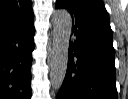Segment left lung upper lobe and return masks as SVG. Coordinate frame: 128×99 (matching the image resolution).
<instances>
[{
    "mask_svg": "<svg viewBox=\"0 0 128 99\" xmlns=\"http://www.w3.org/2000/svg\"><path fill=\"white\" fill-rule=\"evenodd\" d=\"M75 14L100 18L109 22V16L102 0H57Z\"/></svg>",
    "mask_w": 128,
    "mask_h": 99,
    "instance_id": "obj_1",
    "label": "left lung upper lobe"
}]
</instances>
